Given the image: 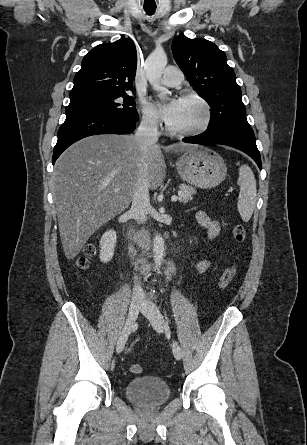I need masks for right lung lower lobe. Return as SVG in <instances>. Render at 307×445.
<instances>
[{"label":"right lung lower lobe","instance_id":"right-lung-lower-lobe-1","mask_svg":"<svg viewBox=\"0 0 307 445\" xmlns=\"http://www.w3.org/2000/svg\"><path fill=\"white\" fill-rule=\"evenodd\" d=\"M138 118H126L110 113H76L66 116L58 131L52 163L74 142L96 134H127L135 130Z\"/></svg>","mask_w":307,"mask_h":445}]
</instances>
